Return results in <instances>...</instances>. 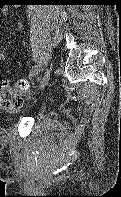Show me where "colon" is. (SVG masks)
<instances>
[{"label":"colon","mask_w":121,"mask_h":197,"mask_svg":"<svg viewBox=\"0 0 121 197\" xmlns=\"http://www.w3.org/2000/svg\"><path fill=\"white\" fill-rule=\"evenodd\" d=\"M29 83L22 80L18 84V92H15L8 80L0 75V111L14 113L18 111L23 103V94L29 90Z\"/></svg>","instance_id":"5ec220e1"}]
</instances>
